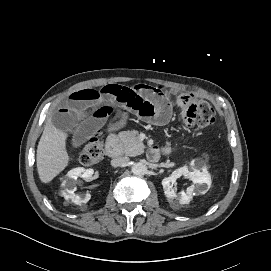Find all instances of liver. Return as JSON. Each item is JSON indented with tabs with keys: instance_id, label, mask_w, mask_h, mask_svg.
Returning <instances> with one entry per match:
<instances>
[{
	"instance_id": "liver-1",
	"label": "liver",
	"mask_w": 271,
	"mask_h": 271,
	"mask_svg": "<svg viewBox=\"0 0 271 271\" xmlns=\"http://www.w3.org/2000/svg\"><path fill=\"white\" fill-rule=\"evenodd\" d=\"M67 135L53 125L49 117L37 148V170L43 183L50 182L69 163Z\"/></svg>"
}]
</instances>
